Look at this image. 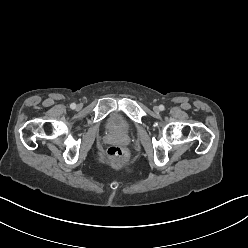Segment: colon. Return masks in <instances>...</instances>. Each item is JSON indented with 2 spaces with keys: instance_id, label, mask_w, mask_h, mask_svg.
<instances>
[{
  "instance_id": "obj_1",
  "label": "colon",
  "mask_w": 248,
  "mask_h": 248,
  "mask_svg": "<svg viewBox=\"0 0 248 248\" xmlns=\"http://www.w3.org/2000/svg\"><path fill=\"white\" fill-rule=\"evenodd\" d=\"M108 157L113 164H121L126 160L127 153L121 146L112 145L107 150Z\"/></svg>"
}]
</instances>
